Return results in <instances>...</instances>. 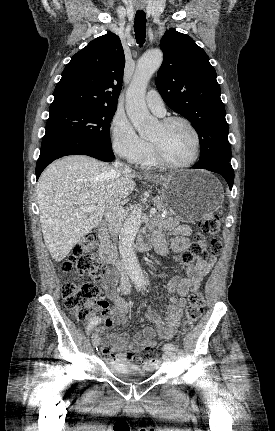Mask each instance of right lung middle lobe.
Here are the masks:
<instances>
[{"label":"right lung middle lobe","instance_id":"obj_1","mask_svg":"<svg viewBox=\"0 0 275 431\" xmlns=\"http://www.w3.org/2000/svg\"><path fill=\"white\" fill-rule=\"evenodd\" d=\"M116 107L71 108L50 113L44 139L69 137L112 149L109 124Z\"/></svg>","mask_w":275,"mask_h":431}]
</instances>
